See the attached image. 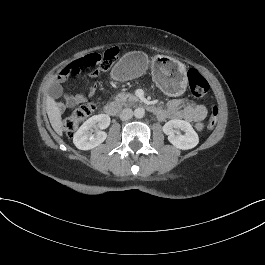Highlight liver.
<instances>
[{"instance_id": "6515ba94", "label": "liver", "mask_w": 265, "mask_h": 265, "mask_svg": "<svg viewBox=\"0 0 265 265\" xmlns=\"http://www.w3.org/2000/svg\"><path fill=\"white\" fill-rule=\"evenodd\" d=\"M46 111L52 128L59 136H62L61 111L55 100L50 96L46 97Z\"/></svg>"}]
</instances>
